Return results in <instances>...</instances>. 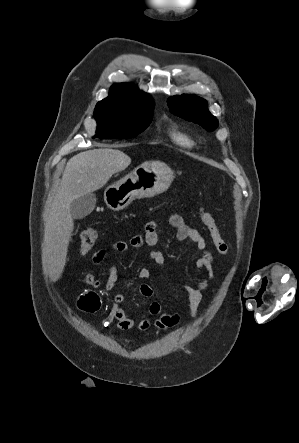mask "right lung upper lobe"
<instances>
[{"label":"right lung upper lobe","instance_id":"right-lung-upper-lobe-1","mask_svg":"<svg viewBox=\"0 0 299 443\" xmlns=\"http://www.w3.org/2000/svg\"><path fill=\"white\" fill-rule=\"evenodd\" d=\"M100 102H119L138 107L154 105L151 97L130 83L113 84L110 88L109 96Z\"/></svg>","mask_w":299,"mask_h":443}]
</instances>
